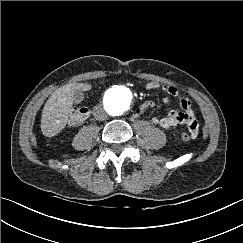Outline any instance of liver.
<instances>
[{"label":"liver","instance_id":"6515ba94","mask_svg":"<svg viewBox=\"0 0 243 243\" xmlns=\"http://www.w3.org/2000/svg\"><path fill=\"white\" fill-rule=\"evenodd\" d=\"M81 89V84L70 83L51 94L42 111L40 127L44 136L53 137L65 128L73 105V95Z\"/></svg>","mask_w":243,"mask_h":243}]
</instances>
